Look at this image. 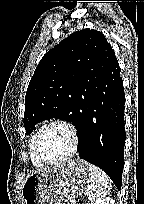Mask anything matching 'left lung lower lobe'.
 Returning a JSON list of instances; mask_svg holds the SVG:
<instances>
[{
	"mask_svg": "<svg viewBox=\"0 0 144 204\" xmlns=\"http://www.w3.org/2000/svg\"><path fill=\"white\" fill-rule=\"evenodd\" d=\"M91 85L82 129L80 158L104 170L118 190L124 166L125 94L116 57L102 62Z\"/></svg>",
	"mask_w": 144,
	"mask_h": 204,
	"instance_id": "left-lung-lower-lobe-1",
	"label": "left lung lower lobe"
}]
</instances>
